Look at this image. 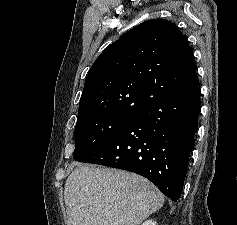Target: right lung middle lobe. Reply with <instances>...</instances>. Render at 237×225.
<instances>
[{"label":"right lung middle lobe","instance_id":"right-lung-middle-lobe-1","mask_svg":"<svg viewBox=\"0 0 237 225\" xmlns=\"http://www.w3.org/2000/svg\"><path fill=\"white\" fill-rule=\"evenodd\" d=\"M135 115H97L77 120L73 157L79 161L122 129Z\"/></svg>","mask_w":237,"mask_h":225}]
</instances>
